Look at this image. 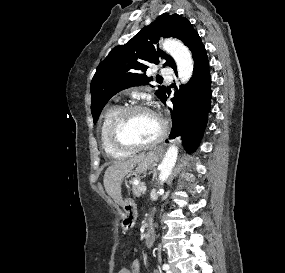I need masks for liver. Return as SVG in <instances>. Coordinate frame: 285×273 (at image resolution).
Segmentation results:
<instances>
[{
	"mask_svg": "<svg viewBox=\"0 0 285 273\" xmlns=\"http://www.w3.org/2000/svg\"><path fill=\"white\" fill-rule=\"evenodd\" d=\"M144 154L133 156L127 160L116 161L110 165L104 174V187L112 199L123 206L121 184L124 177L143 159Z\"/></svg>",
	"mask_w": 285,
	"mask_h": 273,
	"instance_id": "6515ba94",
	"label": "liver"
}]
</instances>
